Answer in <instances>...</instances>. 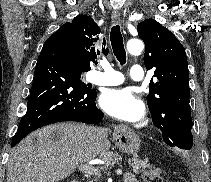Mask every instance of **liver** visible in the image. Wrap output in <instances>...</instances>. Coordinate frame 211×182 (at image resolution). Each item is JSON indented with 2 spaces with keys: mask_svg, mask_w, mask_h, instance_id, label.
Here are the masks:
<instances>
[{
  "mask_svg": "<svg viewBox=\"0 0 211 182\" xmlns=\"http://www.w3.org/2000/svg\"><path fill=\"white\" fill-rule=\"evenodd\" d=\"M95 129V131H93ZM58 133L57 139L52 134ZM108 130L79 123L43 127L10 154L7 182H57L110 148Z\"/></svg>",
  "mask_w": 211,
  "mask_h": 182,
  "instance_id": "liver-1",
  "label": "liver"
}]
</instances>
